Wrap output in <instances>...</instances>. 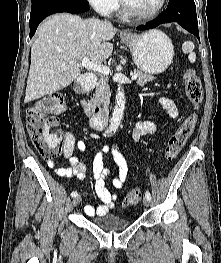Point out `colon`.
Here are the masks:
<instances>
[{"instance_id":"5ec220e1","label":"colon","mask_w":221,"mask_h":263,"mask_svg":"<svg viewBox=\"0 0 221 263\" xmlns=\"http://www.w3.org/2000/svg\"><path fill=\"white\" fill-rule=\"evenodd\" d=\"M185 92L194 110L203 100V89L200 78L195 71L188 69L184 74ZM65 109L64 96L61 93H50L38 99L27 110V128L31 143L43 158L52 160L63 151L64 139L59 130L57 115ZM197 123V114L190 113L176 132L171 136L165 149V158L174 159L191 137ZM142 196L140 189L131 190L125 199L128 205L137 204Z\"/></svg>"}]
</instances>
